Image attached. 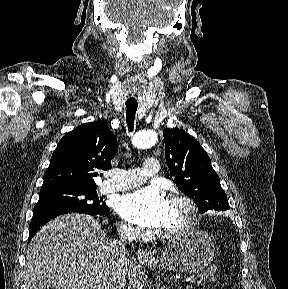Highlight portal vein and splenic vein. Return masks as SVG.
<instances>
[{
    "instance_id": "obj_1",
    "label": "portal vein and splenic vein",
    "mask_w": 288,
    "mask_h": 289,
    "mask_svg": "<svg viewBox=\"0 0 288 289\" xmlns=\"http://www.w3.org/2000/svg\"><path fill=\"white\" fill-rule=\"evenodd\" d=\"M197 282V279L196 278H193L190 283L187 285V289L190 288L193 284H195Z\"/></svg>"
}]
</instances>
